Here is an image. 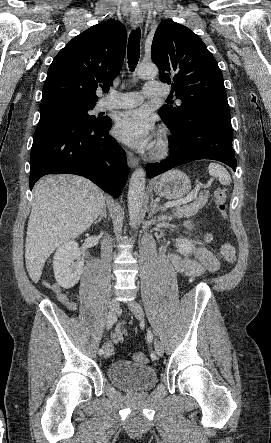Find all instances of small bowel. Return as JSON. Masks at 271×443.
<instances>
[{
  "mask_svg": "<svg viewBox=\"0 0 271 443\" xmlns=\"http://www.w3.org/2000/svg\"><path fill=\"white\" fill-rule=\"evenodd\" d=\"M170 261L176 271L188 276H197L206 270L216 271L219 268V261L216 256L202 247L195 250L193 259L184 258L179 254L173 253L170 255ZM53 291L56 293L58 301L64 304L70 311L77 310L76 304L69 301L57 285L53 286ZM123 337L124 330L121 326H118L113 334V340L120 342L123 340Z\"/></svg>",
  "mask_w": 271,
  "mask_h": 443,
  "instance_id": "small-bowel-1",
  "label": "small bowel"
}]
</instances>
